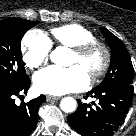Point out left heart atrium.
Listing matches in <instances>:
<instances>
[{
  "mask_svg": "<svg viewBox=\"0 0 136 136\" xmlns=\"http://www.w3.org/2000/svg\"><path fill=\"white\" fill-rule=\"evenodd\" d=\"M89 77L78 65L68 68L47 67L34 75V86L40 93L62 95L85 89Z\"/></svg>",
  "mask_w": 136,
  "mask_h": 136,
  "instance_id": "39dd6f15",
  "label": "left heart atrium"
}]
</instances>
